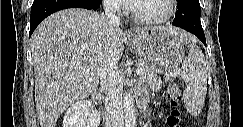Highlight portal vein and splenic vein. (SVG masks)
Segmentation results:
<instances>
[{
    "label": "portal vein and splenic vein",
    "instance_id": "1",
    "mask_svg": "<svg viewBox=\"0 0 243 127\" xmlns=\"http://www.w3.org/2000/svg\"><path fill=\"white\" fill-rule=\"evenodd\" d=\"M86 73H88V70H83V74H86ZM137 74L138 75L144 74V69L143 68H138Z\"/></svg>",
    "mask_w": 243,
    "mask_h": 127
}]
</instances>
